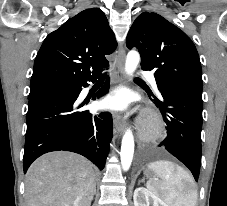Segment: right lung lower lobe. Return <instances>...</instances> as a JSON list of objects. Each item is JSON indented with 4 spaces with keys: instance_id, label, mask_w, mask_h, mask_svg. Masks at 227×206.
Returning <instances> with one entry per match:
<instances>
[{
    "instance_id": "1",
    "label": "right lung lower lobe",
    "mask_w": 227,
    "mask_h": 206,
    "mask_svg": "<svg viewBox=\"0 0 227 206\" xmlns=\"http://www.w3.org/2000/svg\"><path fill=\"white\" fill-rule=\"evenodd\" d=\"M98 77L73 83L74 89L69 93L46 94L29 99L24 173L36 158L58 150L79 153L99 169L104 168L113 132L111 114L79 111L82 105L76 102L82 87H87L88 81L94 82ZM108 81L97 92V98L109 89Z\"/></svg>"
}]
</instances>
